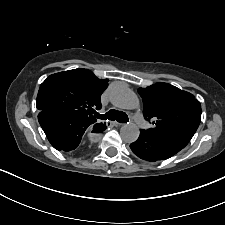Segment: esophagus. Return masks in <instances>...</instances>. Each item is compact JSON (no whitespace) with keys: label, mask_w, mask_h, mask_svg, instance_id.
Returning <instances> with one entry per match:
<instances>
[{"label":"esophagus","mask_w":225,"mask_h":225,"mask_svg":"<svg viewBox=\"0 0 225 225\" xmlns=\"http://www.w3.org/2000/svg\"><path fill=\"white\" fill-rule=\"evenodd\" d=\"M110 125H112V126H121L122 124L119 123V122L114 121V122H110Z\"/></svg>","instance_id":"34e87169"}]
</instances>
